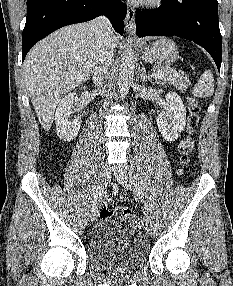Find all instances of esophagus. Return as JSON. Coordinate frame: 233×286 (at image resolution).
<instances>
[{
	"mask_svg": "<svg viewBox=\"0 0 233 286\" xmlns=\"http://www.w3.org/2000/svg\"><path fill=\"white\" fill-rule=\"evenodd\" d=\"M125 27L128 33L134 34L135 32V10L132 7H128L127 9Z\"/></svg>",
	"mask_w": 233,
	"mask_h": 286,
	"instance_id": "34e87169",
	"label": "esophagus"
}]
</instances>
